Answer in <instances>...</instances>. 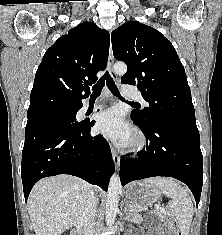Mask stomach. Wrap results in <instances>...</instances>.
Here are the masks:
<instances>
[{"instance_id": "obj_1", "label": "stomach", "mask_w": 222, "mask_h": 235, "mask_svg": "<svg viewBox=\"0 0 222 235\" xmlns=\"http://www.w3.org/2000/svg\"><path fill=\"white\" fill-rule=\"evenodd\" d=\"M161 194L155 186H145L142 182H134L127 187L125 200L132 209L143 208L156 202Z\"/></svg>"}]
</instances>
